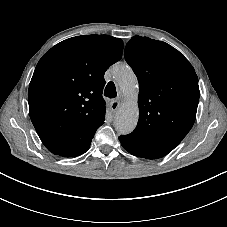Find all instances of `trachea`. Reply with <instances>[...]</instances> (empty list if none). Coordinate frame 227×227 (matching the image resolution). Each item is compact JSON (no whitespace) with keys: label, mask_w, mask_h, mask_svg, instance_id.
<instances>
[{"label":"trachea","mask_w":227,"mask_h":227,"mask_svg":"<svg viewBox=\"0 0 227 227\" xmlns=\"http://www.w3.org/2000/svg\"><path fill=\"white\" fill-rule=\"evenodd\" d=\"M104 95L109 98H115L117 96L116 87L112 81L107 84Z\"/></svg>","instance_id":"1"}]
</instances>
